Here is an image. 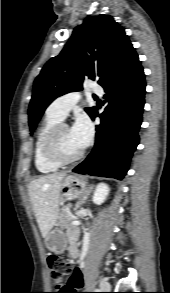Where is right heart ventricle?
Listing matches in <instances>:
<instances>
[{"instance_id": "right-heart-ventricle-1", "label": "right heart ventricle", "mask_w": 170, "mask_h": 293, "mask_svg": "<svg viewBox=\"0 0 170 293\" xmlns=\"http://www.w3.org/2000/svg\"><path fill=\"white\" fill-rule=\"evenodd\" d=\"M61 120L53 115L46 113L43 122L41 123L34 145V162L37 170L41 173H52L57 171L61 165L49 161L44 153V145L46 138L51 129Z\"/></svg>"}]
</instances>
